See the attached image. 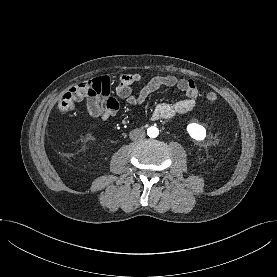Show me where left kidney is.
<instances>
[{"label":"left kidney","instance_id":"5707ae66","mask_svg":"<svg viewBox=\"0 0 277 277\" xmlns=\"http://www.w3.org/2000/svg\"><path fill=\"white\" fill-rule=\"evenodd\" d=\"M187 132L191 138L197 141H203L206 137V129L198 123H190L187 126Z\"/></svg>","mask_w":277,"mask_h":277}]
</instances>
